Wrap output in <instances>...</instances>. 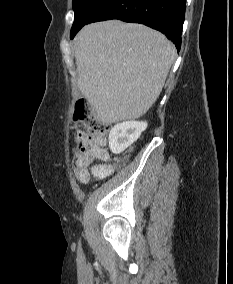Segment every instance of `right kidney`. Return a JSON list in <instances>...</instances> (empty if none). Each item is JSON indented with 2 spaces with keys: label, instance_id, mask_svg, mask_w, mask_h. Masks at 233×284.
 Listing matches in <instances>:
<instances>
[{
  "label": "right kidney",
  "instance_id": "obj_1",
  "mask_svg": "<svg viewBox=\"0 0 233 284\" xmlns=\"http://www.w3.org/2000/svg\"><path fill=\"white\" fill-rule=\"evenodd\" d=\"M147 128V122L127 121L115 125L109 133L110 150L119 154L133 144Z\"/></svg>",
  "mask_w": 233,
  "mask_h": 284
}]
</instances>
